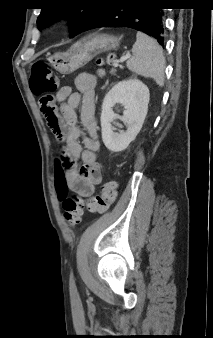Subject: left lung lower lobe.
<instances>
[{
  "mask_svg": "<svg viewBox=\"0 0 213 338\" xmlns=\"http://www.w3.org/2000/svg\"><path fill=\"white\" fill-rule=\"evenodd\" d=\"M154 0H104L82 31L111 26H123L154 37L163 46L165 29L163 12ZM81 31V32H82Z\"/></svg>",
  "mask_w": 213,
  "mask_h": 338,
  "instance_id": "1",
  "label": "left lung lower lobe"
}]
</instances>
